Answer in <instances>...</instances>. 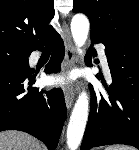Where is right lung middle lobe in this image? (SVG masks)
I'll list each match as a JSON object with an SVG mask.
<instances>
[{
  "instance_id": "1",
  "label": "right lung middle lobe",
  "mask_w": 139,
  "mask_h": 150,
  "mask_svg": "<svg viewBox=\"0 0 139 150\" xmlns=\"http://www.w3.org/2000/svg\"><path fill=\"white\" fill-rule=\"evenodd\" d=\"M29 52L22 51L10 46L0 45V62H14L29 66Z\"/></svg>"
}]
</instances>
